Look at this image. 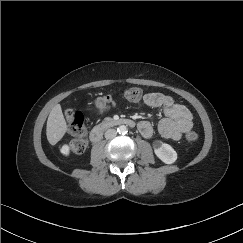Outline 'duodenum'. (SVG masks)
<instances>
[{
	"label": "duodenum",
	"mask_w": 243,
	"mask_h": 243,
	"mask_svg": "<svg viewBox=\"0 0 243 243\" xmlns=\"http://www.w3.org/2000/svg\"><path fill=\"white\" fill-rule=\"evenodd\" d=\"M129 126V127H136V124L133 120L127 119V118H122V119H110L105 122H102L100 125L94 127L90 131V140L92 142H98L103 135V132L110 126Z\"/></svg>",
	"instance_id": "410a0bca"
}]
</instances>
